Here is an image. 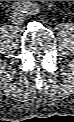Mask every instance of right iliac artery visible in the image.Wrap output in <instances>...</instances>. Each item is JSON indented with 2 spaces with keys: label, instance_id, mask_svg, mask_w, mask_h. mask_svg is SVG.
Masks as SVG:
<instances>
[{
  "label": "right iliac artery",
  "instance_id": "82829eb1",
  "mask_svg": "<svg viewBox=\"0 0 74 122\" xmlns=\"http://www.w3.org/2000/svg\"><path fill=\"white\" fill-rule=\"evenodd\" d=\"M12 8L16 10H22L23 12H25L28 9V4L26 1H18L13 3Z\"/></svg>",
  "mask_w": 74,
  "mask_h": 122
}]
</instances>
